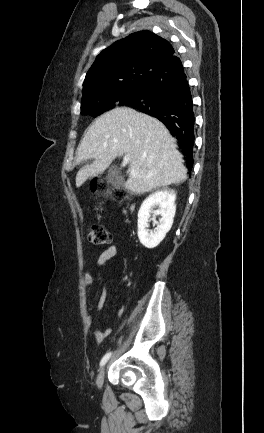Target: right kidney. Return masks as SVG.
Returning a JSON list of instances; mask_svg holds the SVG:
<instances>
[{"mask_svg":"<svg viewBox=\"0 0 264 433\" xmlns=\"http://www.w3.org/2000/svg\"><path fill=\"white\" fill-rule=\"evenodd\" d=\"M176 193L172 189H163L149 195L142 203L138 212V238L146 248L156 247L171 229L176 212ZM159 208L153 213L160 215L158 225L149 231V218L153 207Z\"/></svg>","mask_w":264,"mask_h":433,"instance_id":"right-kidney-1","label":"right kidney"}]
</instances>
